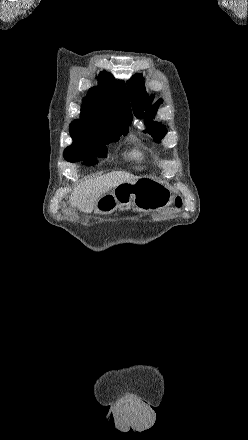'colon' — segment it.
<instances>
[{
	"label": "colon",
	"instance_id": "1",
	"mask_svg": "<svg viewBox=\"0 0 248 440\" xmlns=\"http://www.w3.org/2000/svg\"><path fill=\"white\" fill-rule=\"evenodd\" d=\"M176 204H177L178 206L181 205V199H180V198H177V199H176Z\"/></svg>",
	"mask_w": 248,
	"mask_h": 440
}]
</instances>
